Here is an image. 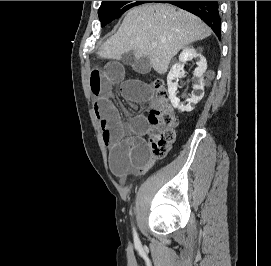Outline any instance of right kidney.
I'll list each match as a JSON object with an SVG mask.
<instances>
[{"mask_svg": "<svg viewBox=\"0 0 271 266\" xmlns=\"http://www.w3.org/2000/svg\"><path fill=\"white\" fill-rule=\"evenodd\" d=\"M191 58H196L197 68L194 70V80L196 84L193 86V92L191 98L187 99V104L180 103V99L176 96L178 88V80L184 75V63ZM207 69V61L193 47H186L183 49L179 56V63L172 66L170 72L167 76V85L169 91V99L173 107L178 108L181 112H190L194 109V106L203 98L204 96V80L203 74Z\"/></svg>", "mask_w": 271, "mask_h": 266, "instance_id": "right-kidney-1", "label": "right kidney"}]
</instances>
